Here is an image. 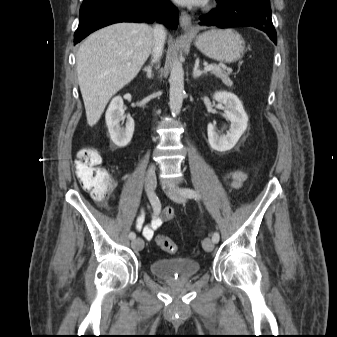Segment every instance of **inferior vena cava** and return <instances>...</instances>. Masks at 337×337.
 Returning a JSON list of instances; mask_svg holds the SVG:
<instances>
[{"mask_svg": "<svg viewBox=\"0 0 337 337\" xmlns=\"http://www.w3.org/2000/svg\"><path fill=\"white\" fill-rule=\"evenodd\" d=\"M154 45L152 49V62L160 59L166 39V32L162 25H156L153 29Z\"/></svg>", "mask_w": 337, "mask_h": 337, "instance_id": "1", "label": "inferior vena cava"}]
</instances>
